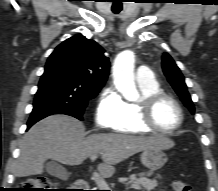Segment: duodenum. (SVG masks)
Returning a JSON list of instances; mask_svg holds the SVG:
<instances>
[{
    "label": "duodenum",
    "instance_id": "410a0bca",
    "mask_svg": "<svg viewBox=\"0 0 218 191\" xmlns=\"http://www.w3.org/2000/svg\"><path fill=\"white\" fill-rule=\"evenodd\" d=\"M89 188V183L85 179H78L74 184V189L72 191H87Z\"/></svg>",
    "mask_w": 218,
    "mask_h": 191
}]
</instances>
